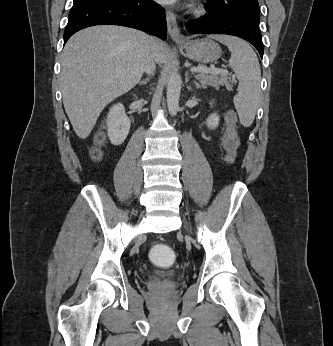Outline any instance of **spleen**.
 I'll list each match as a JSON object with an SVG mask.
<instances>
[{"label":"spleen","mask_w":333,"mask_h":346,"mask_svg":"<svg viewBox=\"0 0 333 346\" xmlns=\"http://www.w3.org/2000/svg\"><path fill=\"white\" fill-rule=\"evenodd\" d=\"M226 45L231 52L229 64L239 81L234 105L240 122L249 127L255 118L260 96L261 69L258 58L245 41L232 36H210Z\"/></svg>","instance_id":"3e777b00"}]
</instances>
